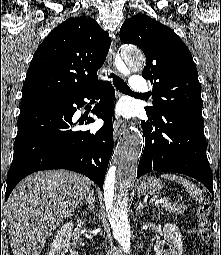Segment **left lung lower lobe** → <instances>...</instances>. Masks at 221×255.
<instances>
[{
    "mask_svg": "<svg viewBox=\"0 0 221 255\" xmlns=\"http://www.w3.org/2000/svg\"><path fill=\"white\" fill-rule=\"evenodd\" d=\"M147 116L148 121H141L146 145L137 178L154 170L176 172L199 180L213 193L203 119L173 109Z\"/></svg>",
    "mask_w": 221,
    "mask_h": 255,
    "instance_id": "left-lung-lower-lobe-1",
    "label": "left lung lower lobe"
}]
</instances>
